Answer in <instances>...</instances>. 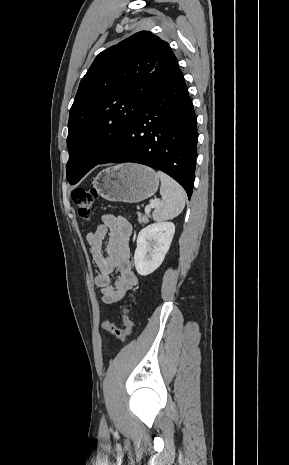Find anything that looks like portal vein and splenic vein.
Segmentation results:
<instances>
[{
  "label": "portal vein and splenic vein",
  "instance_id": "obj_1",
  "mask_svg": "<svg viewBox=\"0 0 289 465\" xmlns=\"http://www.w3.org/2000/svg\"><path fill=\"white\" fill-rule=\"evenodd\" d=\"M158 203H159V200L152 201L149 205H147L145 207V211L149 212L151 210V208L156 207L158 205Z\"/></svg>",
  "mask_w": 289,
  "mask_h": 465
}]
</instances>
